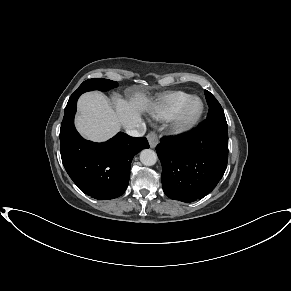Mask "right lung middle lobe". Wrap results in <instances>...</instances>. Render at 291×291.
<instances>
[{
  "instance_id": "1",
  "label": "right lung middle lobe",
  "mask_w": 291,
  "mask_h": 291,
  "mask_svg": "<svg viewBox=\"0 0 291 291\" xmlns=\"http://www.w3.org/2000/svg\"><path fill=\"white\" fill-rule=\"evenodd\" d=\"M117 85H118L117 82L108 79L102 78L90 79L83 82L79 86V88L74 92V95L80 96L82 93L91 90L108 91L114 87H117Z\"/></svg>"
}]
</instances>
